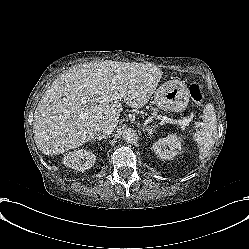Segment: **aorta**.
<instances>
[{
	"instance_id": "obj_1",
	"label": "aorta",
	"mask_w": 249,
	"mask_h": 249,
	"mask_svg": "<svg viewBox=\"0 0 249 249\" xmlns=\"http://www.w3.org/2000/svg\"><path fill=\"white\" fill-rule=\"evenodd\" d=\"M122 139L127 143H134L137 139V133L132 128L123 130Z\"/></svg>"
}]
</instances>
